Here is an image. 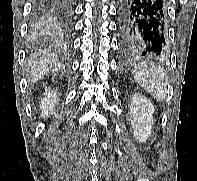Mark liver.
<instances>
[{
	"label": "liver",
	"instance_id": "liver-1",
	"mask_svg": "<svg viewBox=\"0 0 197 181\" xmlns=\"http://www.w3.org/2000/svg\"><path fill=\"white\" fill-rule=\"evenodd\" d=\"M62 67L63 65L57 56L51 52L43 51L32 54L28 61L26 75L29 82H36L44 75L50 72H56Z\"/></svg>",
	"mask_w": 197,
	"mask_h": 181
}]
</instances>
